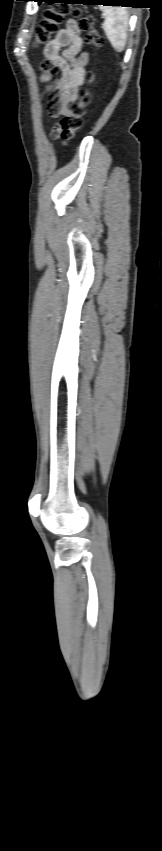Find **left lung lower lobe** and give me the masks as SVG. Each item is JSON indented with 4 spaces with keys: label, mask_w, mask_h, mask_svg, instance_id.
<instances>
[{
    "label": "left lung lower lobe",
    "mask_w": 162,
    "mask_h": 851,
    "mask_svg": "<svg viewBox=\"0 0 162 851\" xmlns=\"http://www.w3.org/2000/svg\"><path fill=\"white\" fill-rule=\"evenodd\" d=\"M42 1L47 2L49 4L55 3V0H38L39 3L42 2ZM90 1H92L94 3H104L103 5L110 4V5H121V6H124V4L132 3L131 0H90ZM66 3H73V4L74 3H81V0H73V1H70V2H66Z\"/></svg>",
    "instance_id": "1"
}]
</instances>
